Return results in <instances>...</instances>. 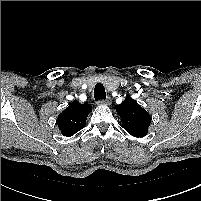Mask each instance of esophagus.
<instances>
[{
	"mask_svg": "<svg viewBox=\"0 0 201 201\" xmlns=\"http://www.w3.org/2000/svg\"><path fill=\"white\" fill-rule=\"evenodd\" d=\"M112 103V100L110 97H107L105 99L99 100L98 105H110Z\"/></svg>",
	"mask_w": 201,
	"mask_h": 201,
	"instance_id": "34e87169",
	"label": "esophagus"
}]
</instances>
